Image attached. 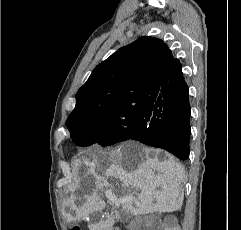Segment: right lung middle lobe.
Masks as SVG:
<instances>
[{"label": "right lung middle lobe", "instance_id": "dd1d6c3e", "mask_svg": "<svg viewBox=\"0 0 241 230\" xmlns=\"http://www.w3.org/2000/svg\"><path fill=\"white\" fill-rule=\"evenodd\" d=\"M148 103L133 108L113 109L105 120L79 122L70 129L71 138L78 146L98 142L105 147L125 141L132 133H141L148 127L150 119L145 116Z\"/></svg>", "mask_w": 241, "mask_h": 230}]
</instances>
